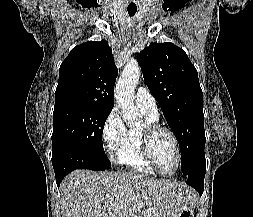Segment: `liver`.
Here are the masks:
<instances>
[{
    "instance_id": "1",
    "label": "liver",
    "mask_w": 253,
    "mask_h": 217,
    "mask_svg": "<svg viewBox=\"0 0 253 217\" xmlns=\"http://www.w3.org/2000/svg\"><path fill=\"white\" fill-rule=\"evenodd\" d=\"M63 217H174L194 201L181 182L130 172L76 170L60 185Z\"/></svg>"
}]
</instances>
